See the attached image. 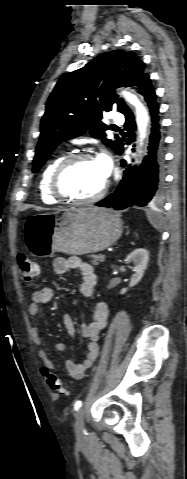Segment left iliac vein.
I'll return each mask as SVG.
<instances>
[{
  "mask_svg": "<svg viewBox=\"0 0 187 479\" xmlns=\"http://www.w3.org/2000/svg\"><path fill=\"white\" fill-rule=\"evenodd\" d=\"M84 419H85V411L84 409H80L76 413V418H75V432L78 438L82 436L85 429Z\"/></svg>",
  "mask_w": 187,
  "mask_h": 479,
  "instance_id": "1",
  "label": "left iliac vein"
}]
</instances>
